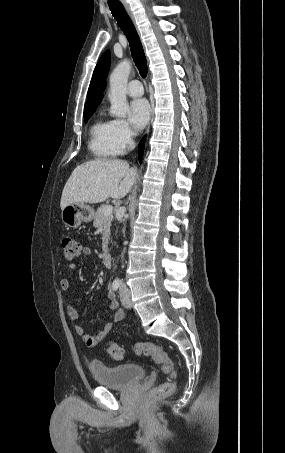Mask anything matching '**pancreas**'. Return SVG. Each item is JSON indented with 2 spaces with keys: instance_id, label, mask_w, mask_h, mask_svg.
Wrapping results in <instances>:
<instances>
[{
  "instance_id": "pancreas-1",
  "label": "pancreas",
  "mask_w": 285,
  "mask_h": 453,
  "mask_svg": "<svg viewBox=\"0 0 285 453\" xmlns=\"http://www.w3.org/2000/svg\"><path fill=\"white\" fill-rule=\"evenodd\" d=\"M106 205H102L100 206L96 213L94 214V221H93V226L95 228H103V234H102V250L104 252L107 251L108 249V240H109V237H110V226H111V222H112V219H113V216L112 214L110 215H103L102 211H103V208L105 207Z\"/></svg>"
}]
</instances>
